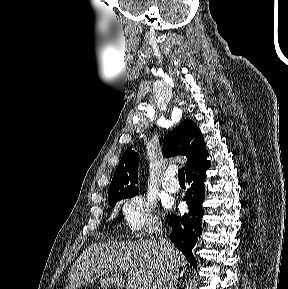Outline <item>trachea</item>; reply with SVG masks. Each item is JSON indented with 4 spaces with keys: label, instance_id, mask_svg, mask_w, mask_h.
Wrapping results in <instances>:
<instances>
[{
    "label": "trachea",
    "instance_id": "1",
    "mask_svg": "<svg viewBox=\"0 0 288 289\" xmlns=\"http://www.w3.org/2000/svg\"><path fill=\"white\" fill-rule=\"evenodd\" d=\"M178 178H179V181H185L184 168L179 169V171H178Z\"/></svg>",
    "mask_w": 288,
    "mask_h": 289
}]
</instances>
